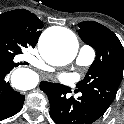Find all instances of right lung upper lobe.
Listing matches in <instances>:
<instances>
[{
	"instance_id": "obj_1",
	"label": "right lung upper lobe",
	"mask_w": 124,
	"mask_h": 124,
	"mask_svg": "<svg viewBox=\"0 0 124 124\" xmlns=\"http://www.w3.org/2000/svg\"><path fill=\"white\" fill-rule=\"evenodd\" d=\"M0 23H4L25 40L28 46L35 47L43 27L42 21L28 10H12L0 15Z\"/></svg>"
}]
</instances>
